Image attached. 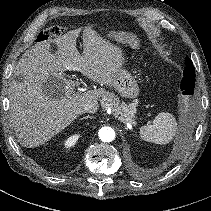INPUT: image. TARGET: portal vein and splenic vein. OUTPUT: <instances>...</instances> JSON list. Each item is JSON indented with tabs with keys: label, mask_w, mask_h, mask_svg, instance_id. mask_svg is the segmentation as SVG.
<instances>
[{
	"label": "portal vein and splenic vein",
	"mask_w": 211,
	"mask_h": 211,
	"mask_svg": "<svg viewBox=\"0 0 211 211\" xmlns=\"http://www.w3.org/2000/svg\"><path fill=\"white\" fill-rule=\"evenodd\" d=\"M65 91H66L67 95H71V94L74 93V90L72 88V85H66L65 86Z\"/></svg>",
	"instance_id": "portal-vein-and-splenic-vein-1"
}]
</instances>
